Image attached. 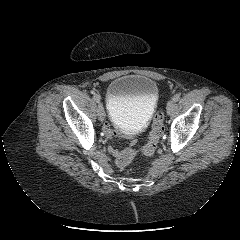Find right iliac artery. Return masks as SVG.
<instances>
[{
	"label": "right iliac artery",
	"mask_w": 240,
	"mask_h": 240,
	"mask_svg": "<svg viewBox=\"0 0 240 240\" xmlns=\"http://www.w3.org/2000/svg\"><path fill=\"white\" fill-rule=\"evenodd\" d=\"M93 99H94L97 103L100 102V97H99V95H97V94H94Z\"/></svg>",
	"instance_id": "82829eb1"
}]
</instances>
